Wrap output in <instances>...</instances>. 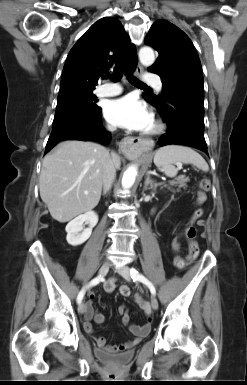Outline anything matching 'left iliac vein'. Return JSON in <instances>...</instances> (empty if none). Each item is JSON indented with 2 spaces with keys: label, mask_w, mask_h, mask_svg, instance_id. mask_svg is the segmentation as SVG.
<instances>
[{
  "label": "left iliac vein",
  "mask_w": 247,
  "mask_h": 385,
  "mask_svg": "<svg viewBox=\"0 0 247 385\" xmlns=\"http://www.w3.org/2000/svg\"><path fill=\"white\" fill-rule=\"evenodd\" d=\"M117 272L127 281L131 280V273H130V268L128 266H122L121 268L117 269ZM151 307L154 310L158 309V301L156 297L152 296L151 297Z\"/></svg>",
  "instance_id": "1"
}]
</instances>
